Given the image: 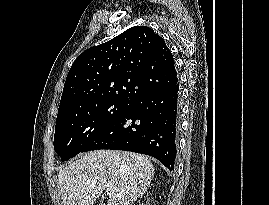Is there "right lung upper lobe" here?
<instances>
[{"label":"right lung upper lobe","mask_w":269,"mask_h":205,"mask_svg":"<svg viewBox=\"0 0 269 205\" xmlns=\"http://www.w3.org/2000/svg\"><path fill=\"white\" fill-rule=\"evenodd\" d=\"M177 83L174 59L162 37L146 26L131 27L74 61L57 119L105 101L130 103Z\"/></svg>","instance_id":"1"}]
</instances>
